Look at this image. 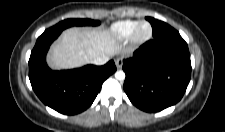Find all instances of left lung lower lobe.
<instances>
[{"label": "left lung lower lobe", "mask_w": 225, "mask_h": 132, "mask_svg": "<svg viewBox=\"0 0 225 132\" xmlns=\"http://www.w3.org/2000/svg\"><path fill=\"white\" fill-rule=\"evenodd\" d=\"M152 25L162 21L146 18ZM124 91L130 101L146 112L161 111L184 95L191 76L187 43L178 32L154 38L123 61Z\"/></svg>", "instance_id": "0a47b994"}]
</instances>
